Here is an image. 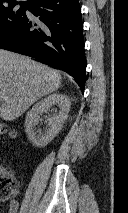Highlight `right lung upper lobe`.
Returning a JSON list of instances; mask_svg holds the SVG:
<instances>
[{
  "mask_svg": "<svg viewBox=\"0 0 128 213\" xmlns=\"http://www.w3.org/2000/svg\"><path fill=\"white\" fill-rule=\"evenodd\" d=\"M35 0H27L26 2H17L16 0H0V6L9 5V4H20V5H30Z\"/></svg>",
  "mask_w": 128,
  "mask_h": 213,
  "instance_id": "right-lung-upper-lobe-1",
  "label": "right lung upper lobe"
}]
</instances>
